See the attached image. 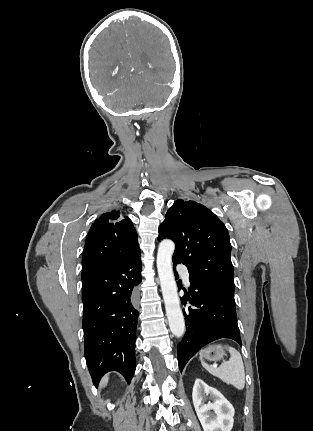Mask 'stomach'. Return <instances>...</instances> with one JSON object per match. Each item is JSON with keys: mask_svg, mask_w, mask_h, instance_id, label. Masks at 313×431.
Listing matches in <instances>:
<instances>
[{"mask_svg": "<svg viewBox=\"0 0 313 431\" xmlns=\"http://www.w3.org/2000/svg\"><path fill=\"white\" fill-rule=\"evenodd\" d=\"M225 356V350L221 346L213 347L209 352H206L203 358L209 361H217L223 359Z\"/></svg>", "mask_w": 313, "mask_h": 431, "instance_id": "0dacf381", "label": "stomach"}]
</instances>
